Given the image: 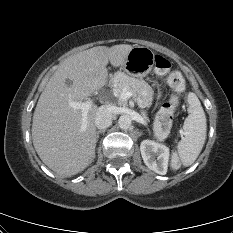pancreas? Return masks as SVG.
Wrapping results in <instances>:
<instances>
[{
  "mask_svg": "<svg viewBox=\"0 0 233 233\" xmlns=\"http://www.w3.org/2000/svg\"><path fill=\"white\" fill-rule=\"evenodd\" d=\"M132 91L138 96L137 102L140 108L150 107L153 100V89L148 83L142 79L132 78L124 73H117L114 78V94L120 98L123 89ZM125 103V101H121ZM142 116L148 120L147 111L141 110ZM155 135L158 139H164L167 137V131H163L160 127L154 128Z\"/></svg>",
  "mask_w": 233,
  "mask_h": 233,
  "instance_id": "pancreas-1",
  "label": "pancreas"
}]
</instances>
